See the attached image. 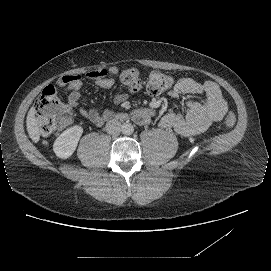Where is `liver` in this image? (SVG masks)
<instances>
[{
  "mask_svg": "<svg viewBox=\"0 0 271 271\" xmlns=\"http://www.w3.org/2000/svg\"><path fill=\"white\" fill-rule=\"evenodd\" d=\"M26 123H27V130H28L29 136L34 142H38L40 138V131L36 122L34 109L29 110Z\"/></svg>",
  "mask_w": 271,
  "mask_h": 271,
  "instance_id": "6515ba94",
  "label": "liver"
}]
</instances>
